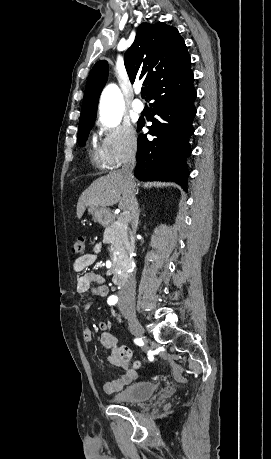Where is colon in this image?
Here are the masks:
<instances>
[{
	"label": "colon",
	"instance_id": "5ec220e1",
	"mask_svg": "<svg viewBox=\"0 0 271 459\" xmlns=\"http://www.w3.org/2000/svg\"><path fill=\"white\" fill-rule=\"evenodd\" d=\"M85 246H86L85 237L79 236L72 243L71 251L75 255L82 256L85 253ZM118 355L124 362H129L130 359H131V350L128 347H124L123 346V347L119 348ZM134 367L135 368H139L140 367V363L139 362H135L134 363Z\"/></svg>",
	"mask_w": 271,
	"mask_h": 459
}]
</instances>
